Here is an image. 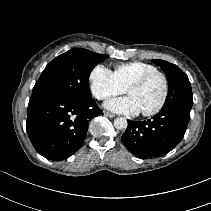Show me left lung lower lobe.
Wrapping results in <instances>:
<instances>
[{
	"mask_svg": "<svg viewBox=\"0 0 211 211\" xmlns=\"http://www.w3.org/2000/svg\"><path fill=\"white\" fill-rule=\"evenodd\" d=\"M190 110L170 105L163 107L151 120H128V127L122 135L124 146L141 158L165 155L182 140L190 120Z\"/></svg>",
	"mask_w": 211,
	"mask_h": 211,
	"instance_id": "obj_1",
	"label": "left lung lower lobe"
}]
</instances>
